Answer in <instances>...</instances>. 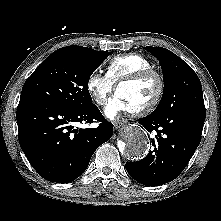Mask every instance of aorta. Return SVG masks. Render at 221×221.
<instances>
[{"mask_svg": "<svg viewBox=\"0 0 221 221\" xmlns=\"http://www.w3.org/2000/svg\"><path fill=\"white\" fill-rule=\"evenodd\" d=\"M121 152L129 159L139 160L145 157L150 147L147 133L138 126L128 127L124 134Z\"/></svg>", "mask_w": 221, "mask_h": 221, "instance_id": "1", "label": "aorta"}]
</instances>
